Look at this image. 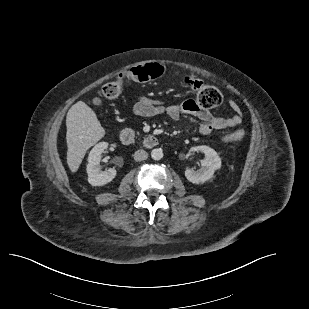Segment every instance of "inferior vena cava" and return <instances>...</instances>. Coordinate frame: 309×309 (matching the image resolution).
<instances>
[{
	"instance_id": "inferior-vena-cava-1",
	"label": "inferior vena cava",
	"mask_w": 309,
	"mask_h": 309,
	"mask_svg": "<svg viewBox=\"0 0 309 309\" xmlns=\"http://www.w3.org/2000/svg\"><path fill=\"white\" fill-rule=\"evenodd\" d=\"M148 158V153L145 150H137L134 153V160L135 161H143Z\"/></svg>"
}]
</instances>
